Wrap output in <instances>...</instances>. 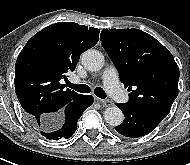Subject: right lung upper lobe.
I'll return each instance as SVG.
<instances>
[{
	"instance_id": "1",
	"label": "right lung upper lobe",
	"mask_w": 190,
	"mask_h": 165,
	"mask_svg": "<svg viewBox=\"0 0 190 165\" xmlns=\"http://www.w3.org/2000/svg\"><path fill=\"white\" fill-rule=\"evenodd\" d=\"M100 30L72 22L52 24L35 34L15 65V92L26 115L43 123L81 97L61 84L80 55L99 40Z\"/></svg>"
}]
</instances>
